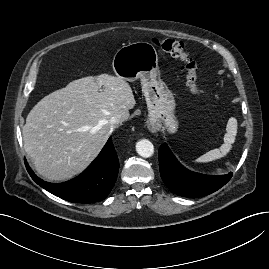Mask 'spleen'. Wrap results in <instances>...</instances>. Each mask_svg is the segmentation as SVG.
I'll return each instance as SVG.
<instances>
[{"mask_svg":"<svg viewBox=\"0 0 269 269\" xmlns=\"http://www.w3.org/2000/svg\"><path fill=\"white\" fill-rule=\"evenodd\" d=\"M236 134H237V120L234 117H231L228 120L226 126L224 143L220 146V148L210 150L204 155L197 158L196 162L206 163L226 156L230 152L232 145L235 142Z\"/></svg>","mask_w":269,"mask_h":269,"instance_id":"obj_1","label":"spleen"}]
</instances>
